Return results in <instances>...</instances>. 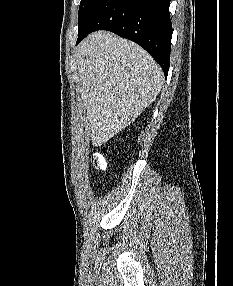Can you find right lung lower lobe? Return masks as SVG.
<instances>
[{"mask_svg": "<svg viewBox=\"0 0 233 286\" xmlns=\"http://www.w3.org/2000/svg\"><path fill=\"white\" fill-rule=\"evenodd\" d=\"M170 0H97L79 24L76 45L88 34L108 30L143 47L167 77L172 24Z\"/></svg>", "mask_w": 233, "mask_h": 286, "instance_id": "right-lung-lower-lobe-1", "label": "right lung lower lobe"}]
</instances>
